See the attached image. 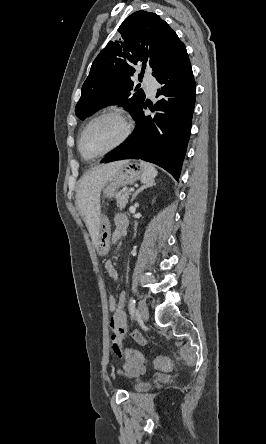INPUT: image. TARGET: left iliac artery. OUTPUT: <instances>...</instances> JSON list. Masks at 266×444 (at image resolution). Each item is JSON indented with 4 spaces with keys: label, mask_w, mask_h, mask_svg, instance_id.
<instances>
[{
    "label": "left iliac artery",
    "mask_w": 266,
    "mask_h": 444,
    "mask_svg": "<svg viewBox=\"0 0 266 444\" xmlns=\"http://www.w3.org/2000/svg\"><path fill=\"white\" fill-rule=\"evenodd\" d=\"M135 303H136L135 299L133 297H131L130 302H129L131 318H133V316H134Z\"/></svg>",
    "instance_id": "44dca946"
}]
</instances>
